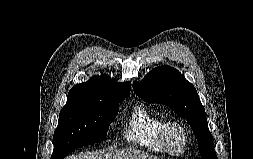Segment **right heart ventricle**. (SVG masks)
I'll return each mask as SVG.
<instances>
[{
  "instance_id": "e07e8e85",
  "label": "right heart ventricle",
  "mask_w": 253,
  "mask_h": 159,
  "mask_svg": "<svg viewBox=\"0 0 253 159\" xmlns=\"http://www.w3.org/2000/svg\"><path fill=\"white\" fill-rule=\"evenodd\" d=\"M165 118L148 109L137 106L128 117L123 129V138L131 144L160 152L164 148L160 143V130Z\"/></svg>"
}]
</instances>
